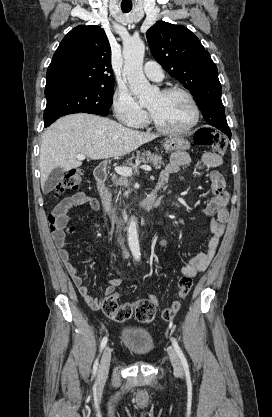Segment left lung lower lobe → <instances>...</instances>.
<instances>
[{
  "label": "left lung lower lobe",
  "mask_w": 272,
  "mask_h": 417,
  "mask_svg": "<svg viewBox=\"0 0 272 417\" xmlns=\"http://www.w3.org/2000/svg\"><path fill=\"white\" fill-rule=\"evenodd\" d=\"M226 135H228V136H231V132H228V133H225Z\"/></svg>",
  "instance_id": "1"
}]
</instances>
